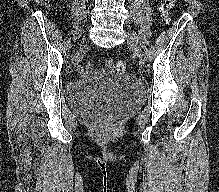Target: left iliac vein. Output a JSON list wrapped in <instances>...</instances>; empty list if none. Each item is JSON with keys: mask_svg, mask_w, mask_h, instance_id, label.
<instances>
[{"mask_svg": "<svg viewBox=\"0 0 219 192\" xmlns=\"http://www.w3.org/2000/svg\"><path fill=\"white\" fill-rule=\"evenodd\" d=\"M127 45L136 57H138L140 60L143 59L141 48L139 47L135 37L130 32H128Z\"/></svg>", "mask_w": 219, "mask_h": 192, "instance_id": "1", "label": "left iliac vein"}]
</instances>
